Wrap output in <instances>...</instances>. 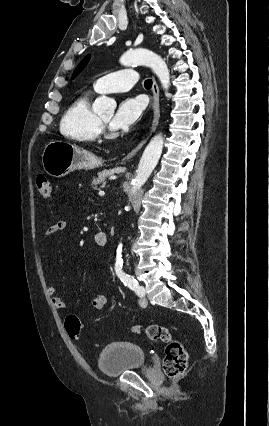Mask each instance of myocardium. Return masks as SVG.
<instances>
[{"mask_svg":"<svg viewBox=\"0 0 269 426\" xmlns=\"http://www.w3.org/2000/svg\"><path fill=\"white\" fill-rule=\"evenodd\" d=\"M99 122H100V125H101L102 127H105V126H106V122H104L102 119H99Z\"/></svg>","mask_w":269,"mask_h":426,"instance_id":"obj_1","label":"myocardium"}]
</instances>
